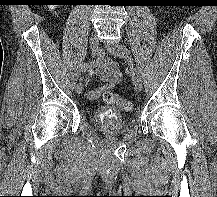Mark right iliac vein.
<instances>
[{"instance_id": "63e3f726", "label": "right iliac vein", "mask_w": 217, "mask_h": 197, "mask_svg": "<svg viewBox=\"0 0 217 197\" xmlns=\"http://www.w3.org/2000/svg\"><path fill=\"white\" fill-rule=\"evenodd\" d=\"M98 47H99L98 38L96 34H92L90 37V48H91L92 53H95L98 50ZM82 89H83L82 83H78L75 86V92L77 94H80L82 92Z\"/></svg>"}]
</instances>
